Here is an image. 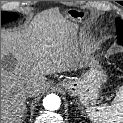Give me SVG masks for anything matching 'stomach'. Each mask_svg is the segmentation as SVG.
<instances>
[{
  "label": "stomach",
  "instance_id": "stomach-1",
  "mask_svg": "<svg viewBox=\"0 0 123 123\" xmlns=\"http://www.w3.org/2000/svg\"><path fill=\"white\" fill-rule=\"evenodd\" d=\"M66 16L75 22H81L84 14L76 9L66 11ZM107 76L97 61H93L88 70L78 78L64 79L59 82L60 87L69 95L78 97L80 103L88 105L99 95Z\"/></svg>",
  "mask_w": 123,
  "mask_h": 123
}]
</instances>
